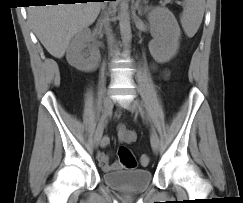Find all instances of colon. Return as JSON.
Here are the masks:
<instances>
[{"label":"colon","instance_id":"colon-1","mask_svg":"<svg viewBox=\"0 0 243 203\" xmlns=\"http://www.w3.org/2000/svg\"><path fill=\"white\" fill-rule=\"evenodd\" d=\"M118 157L123 164L124 168L127 170L135 169L137 166L136 159L132 156L129 149L125 146H120L118 148ZM150 158L147 155H142L140 157V164L143 166L148 165Z\"/></svg>","mask_w":243,"mask_h":203}]
</instances>
